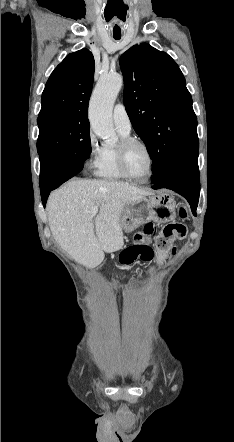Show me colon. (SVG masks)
Wrapping results in <instances>:
<instances>
[{
    "mask_svg": "<svg viewBox=\"0 0 234 442\" xmlns=\"http://www.w3.org/2000/svg\"><path fill=\"white\" fill-rule=\"evenodd\" d=\"M179 215L182 219L187 218V211L183 206L179 208ZM187 228L181 222H174L166 225L160 231L152 223L147 224L144 229L135 236V243L126 247L119 256L123 265H128L140 259L151 261L155 252L167 253L175 240L183 239L186 236ZM154 237L155 248L150 245V239Z\"/></svg>",
    "mask_w": 234,
    "mask_h": 442,
    "instance_id": "colon-1",
    "label": "colon"
}]
</instances>
